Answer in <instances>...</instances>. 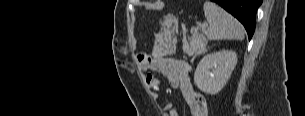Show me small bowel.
I'll return each mask as SVG.
<instances>
[{
    "label": "small bowel",
    "instance_id": "1",
    "mask_svg": "<svg viewBox=\"0 0 305 116\" xmlns=\"http://www.w3.org/2000/svg\"><path fill=\"white\" fill-rule=\"evenodd\" d=\"M169 50V44L159 39L150 54L139 53L137 55L140 68L162 74L172 89L180 90L190 116H207L206 99L194 88L191 82V66L184 60L168 57ZM146 82L152 91L159 90L161 86L160 80L150 74L146 76ZM164 109L166 111L164 116H178L172 103H167Z\"/></svg>",
    "mask_w": 305,
    "mask_h": 116
}]
</instances>
